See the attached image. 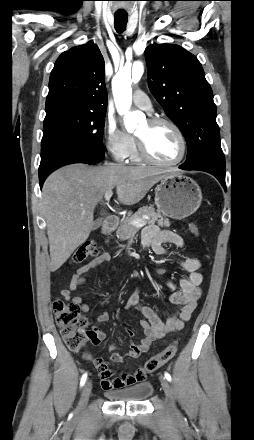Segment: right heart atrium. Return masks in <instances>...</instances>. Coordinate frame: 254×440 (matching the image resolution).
<instances>
[{
  "instance_id": "obj_1",
  "label": "right heart atrium",
  "mask_w": 254,
  "mask_h": 440,
  "mask_svg": "<svg viewBox=\"0 0 254 440\" xmlns=\"http://www.w3.org/2000/svg\"><path fill=\"white\" fill-rule=\"evenodd\" d=\"M105 144L107 149L118 160L130 157L135 146L134 137L121 129L115 120L108 118L104 127Z\"/></svg>"
}]
</instances>
